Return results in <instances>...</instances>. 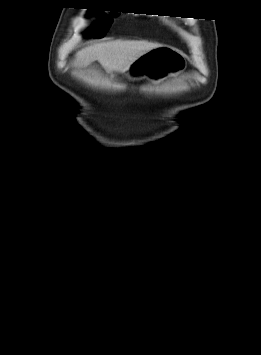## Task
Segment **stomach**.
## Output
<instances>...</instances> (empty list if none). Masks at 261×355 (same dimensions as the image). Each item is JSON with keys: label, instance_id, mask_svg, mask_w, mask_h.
<instances>
[{"label": "stomach", "instance_id": "stomach-1", "mask_svg": "<svg viewBox=\"0 0 261 355\" xmlns=\"http://www.w3.org/2000/svg\"><path fill=\"white\" fill-rule=\"evenodd\" d=\"M186 64L185 57L177 49L159 46L135 60L128 72L134 77L161 79L184 71Z\"/></svg>", "mask_w": 261, "mask_h": 355}]
</instances>
